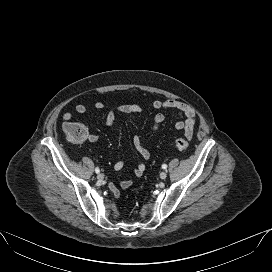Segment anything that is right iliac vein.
Here are the masks:
<instances>
[{"label": "right iliac vein", "instance_id": "right-iliac-vein-1", "mask_svg": "<svg viewBox=\"0 0 272 272\" xmlns=\"http://www.w3.org/2000/svg\"><path fill=\"white\" fill-rule=\"evenodd\" d=\"M97 179H98L100 182H102V181L104 180V175H103L102 173H99V174L97 175Z\"/></svg>", "mask_w": 272, "mask_h": 272}]
</instances>
